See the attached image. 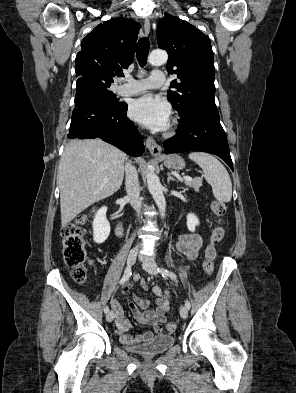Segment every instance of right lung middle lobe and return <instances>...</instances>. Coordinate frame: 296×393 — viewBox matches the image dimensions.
<instances>
[{"instance_id": "1", "label": "right lung middle lobe", "mask_w": 296, "mask_h": 393, "mask_svg": "<svg viewBox=\"0 0 296 393\" xmlns=\"http://www.w3.org/2000/svg\"><path fill=\"white\" fill-rule=\"evenodd\" d=\"M84 80L90 83L109 104L118 106L122 103L116 98V94L108 89L111 82H106L90 76L84 78Z\"/></svg>"}]
</instances>
